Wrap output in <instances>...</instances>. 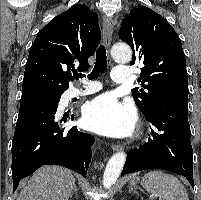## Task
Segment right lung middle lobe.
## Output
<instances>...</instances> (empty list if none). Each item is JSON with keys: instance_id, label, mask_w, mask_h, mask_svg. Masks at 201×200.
I'll list each match as a JSON object with an SVG mask.
<instances>
[{"instance_id": "1", "label": "right lung middle lobe", "mask_w": 201, "mask_h": 200, "mask_svg": "<svg viewBox=\"0 0 201 200\" xmlns=\"http://www.w3.org/2000/svg\"><path fill=\"white\" fill-rule=\"evenodd\" d=\"M62 94H41L33 96H23L20 100V107L42 103V102H59Z\"/></svg>"}]
</instances>
